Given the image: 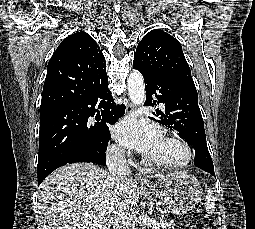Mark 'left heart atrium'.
<instances>
[{
  "instance_id": "obj_1",
  "label": "left heart atrium",
  "mask_w": 255,
  "mask_h": 229,
  "mask_svg": "<svg viewBox=\"0 0 255 229\" xmlns=\"http://www.w3.org/2000/svg\"><path fill=\"white\" fill-rule=\"evenodd\" d=\"M113 135L124 146L151 155L162 139L160 129L146 120L134 117L118 123Z\"/></svg>"
}]
</instances>
